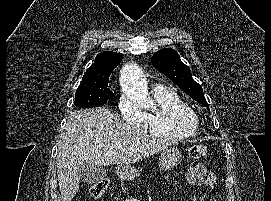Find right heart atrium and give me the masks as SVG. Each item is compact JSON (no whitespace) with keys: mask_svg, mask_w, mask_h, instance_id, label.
I'll use <instances>...</instances> for the list:
<instances>
[{"mask_svg":"<svg viewBox=\"0 0 271 201\" xmlns=\"http://www.w3.org/2000/svg\"><path fill=\"white\" fill-rule=\"evenodd\" d=\"M118 107L128 122L137 126H144L145 113L135 105L128 95L120 97Z\"/></svg>","mask_w":271,"mask_h":201,"instance_id":"obj_1","label":"right heart atrium"}]
</instances>
